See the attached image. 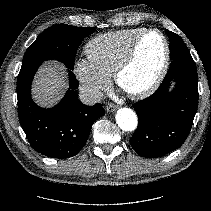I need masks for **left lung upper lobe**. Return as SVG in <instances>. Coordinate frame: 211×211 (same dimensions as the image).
Here are the masks:
<instances>
[{
	"mask_svg": "<svg viewBox=\"0 0 211 211\" xmlns=\"http://www.w3.org/2000/svg\"><path fill=\"white\" fill-rule=\"evenodd\" d=\"M166 33H167L168 37L171 34H175L169 30H166ZM175 35L178 36L177 34H175ZM187 53H190V52H189L187 46L185 45V43L183 42V40L180 38V44L177 45V47L170 48V59L172 60L180 54H187Z\"/></svg>",
	"mask_w": 211,
	"mask_h": 211,
	"instance_id": "obj_1",
	"label": "left lung upper lobe"
}]
</instances>
